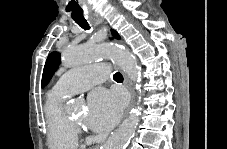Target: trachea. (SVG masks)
Here are the masks:
<instances>
[{
	"label": "trachea",
	"mask_w": 227,
	"mask_h": 149,
	"mask_svg": "<svg viewBox=\"0 0 227 149\" xmlns=\"http://www.w3.org/2000/svg\"><path fill=\"white\" fill-rule=\"evenodd\" d=\"M84 30H89L90 25L86 20L75 21ZM113 79L117 82L123 81V76L121 73L117 72L113 75Z\"/></svg>",
	"instance_id": "trachea-1"
}]
</instances>
